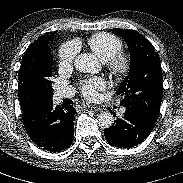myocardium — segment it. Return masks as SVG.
<instances>
[{"label":"myocardium","mask_w":183,"mask_h":183,"mask_svg":"<svg viewBox=\"0 0 183 183\" xmlns=\"http://www.w3.org/2000/svg\"><path fill=\"white\" fill-rule=\"evenodd\" d=\"M105 62L110 74L118 79L126 77L132 67V58L124 51H119Z\"/></svg>","instance_id":"obj_1"}]
</instances>
